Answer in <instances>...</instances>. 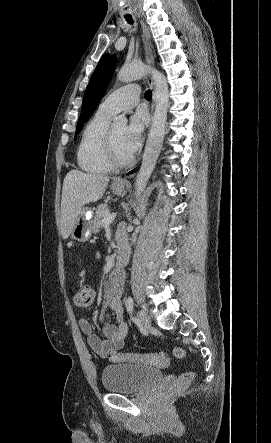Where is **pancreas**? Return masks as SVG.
I'll return each mask as SVG.
<instances>
[{
	"label": "pancreas",
	"instance_id": "obj_1",
	"mask_svg": "<svg viewBox=\"0 0 271 443\" xmlns=\"http://www.w3.org/2000/svg\"><path fill=\"white\" fill-rule=\"evenodd\" d=\"M108 208L107 204H104V206H98L96 208L95 216H93L94 220L92 222V229L93 231H99V227L102 225L103 218H106L108 216Z\"/></svg>",
	"mask_w": 271,
	"mask_h": 443
}]
</instances>
